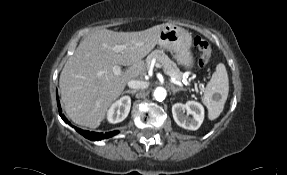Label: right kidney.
Segmentation results:
<instances>
[{
	"label": "right kidney",
	"instance_id": "ca27d5eb",
	"mask_svg": "<svg viewBox=\"0 0 287 175\" xmlns=\"http://www.w3.org/2000/svg\"><path fill=\"white\" fill-rule=\"evenodd\" d=\"M131 107V98L123 96L114 102L107 112V120L110 123H119L123 121L129 114Z\"/></svg>",
	"mask_w": 287,
	"mask_h": 175
}]
</instances>
